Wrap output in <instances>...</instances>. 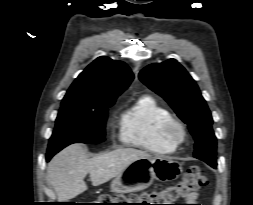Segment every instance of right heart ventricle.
<instances>
[{
	"label": "right heart ventricle",
	"instance_id": "right-heart-ventricle-1",
	"mask_svg": "<svg viewBox=\"0 0 253 205\" xmlns=\"http://www.w3.org/2000/svg\"><path fill=\"white\" fill-rule=\"evenodd\" d=\"M171 119L170 110L157 99L141 96L121 114L119 139L125 145L152 153H171L177 146L162 137V129Z\"/></svg>",
	"mask_w": 253,
	"mask_h": 205
}]
</instances>
